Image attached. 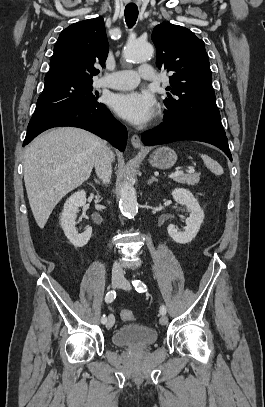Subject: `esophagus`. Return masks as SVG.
I'll list each match as a JSON object with an SVG mask.
<instances>
[{
    "label": "esophagus",
    "instance_id": "1",
    "mask_svg": "<svg viewBox=\"0 0 265 407\" xmlns=\"http://www.w3.org/2000/svg\"><path fill=\"white\" fill-rule=\"evenodd\" d=\"M131 143H132V146H133L134 148H136V149L142 148L141 139H140V137H139L137 134H134V135L131 137Z\"/></svg>",
    "mask_w": 265,
    "mask_h": 407
}]
</instances>
